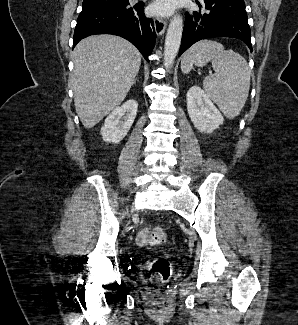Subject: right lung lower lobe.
Returning <instances> with one entry per match:
<instances>
[{
  "label": "right lung lower lobe",
  "mask_w": 298,
  "mask_h": 325,
  "mask_svg": "<svg viewBox=\"0 0 298 325\" xmlns=\"http://www.w3.org/2000/svg\"><path fill=\"white\" fill-rule=\"evenodd\" d=\"M93 34H114L127 39L148 62L156 41L154 22L145 17L143 5L83 9L77 19L74 46Z\"/></svg>",
  "instance_id": "1"
}]
</instances>
